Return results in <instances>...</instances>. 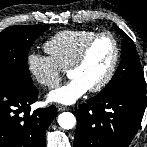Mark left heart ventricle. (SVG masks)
I'll return each mask as SVG.
<instances>
[{
  "label": "left heart ventricle",
  "instance_id": "1",
  "mask_svg": "<svg viewBox=\"0 0 147 147\" xmlns=\"http://www.w3.org/2000/svg\"><path fill=\"white\" fill-rule=\"evenodd\" d=\"M113 57L114 45L112 40L109 37H101L91 47L83 65L71 71L69 77L81 80L90 89L105 77Z\"/></svg>",
  "mask_w": 147,
  "mask_h": 147
}]
</instances>
